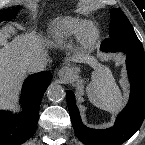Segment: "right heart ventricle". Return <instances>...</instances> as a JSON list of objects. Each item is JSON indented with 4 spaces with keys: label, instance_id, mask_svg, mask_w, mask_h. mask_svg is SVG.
<instances>
[{
    "label": "right heart ventricle",
    "instance_id": "1",
    "mask_svg": "<svg viewBox=\"0 0 145 145\" xmlns=\"http://www.w3.org/2000/svg\"><path fill=\"white\" fill-rule=\"evenodd\" d=\"M90 32H94V26L91 22L76 18H65L56 25L54 44L63 46L74 39H87Z\"/></svg>",
    "mask_w": 145,
    "mask_h": 145
}]
</instances>
